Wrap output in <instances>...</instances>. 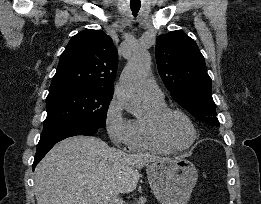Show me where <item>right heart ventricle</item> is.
I'll use <instances>...</instances> for the list:
<instances>
[{
    "label": "right heart ventricle",
    "mask_w": 261,
    "mask_h": 204,
    "mask_svg": "<svg viewBox=\"0 0 261 204\" xmlns=\"http://www.w3.org/2000/svg\"><path fill=\"white\" fill-rule=\"evenodd\" d=\"M145 115L131 120L129 147L135 151L151 153H172L174 150L164 145L155 135V116L167 108L162 100H144Z\"/></svg>",
    "instance_id": "e07e8e85"
}]
</instances>
